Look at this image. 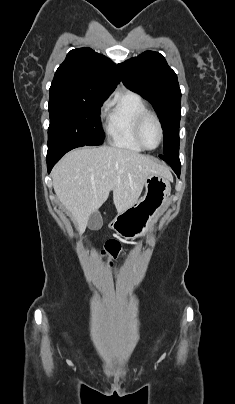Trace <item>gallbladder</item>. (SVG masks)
Wrapping results in <instances>:
<instances>
[{
	"instance_id": "1",
	"label": "gallbladder",
	"mask_w": 235,
	"mask_h": 404,
	"mask_svg": "<svg viewBox=\"0 0 235 404\" xmlns=\"http://www.w3.org/2000/svg\"><path fill=\"white\" fill-rule=\"evenodd\" d=\"M103 220L99 212L95 211L90 214L88 227L91 230H98L102 227Z\"/></svg>"
}]
</instances>
